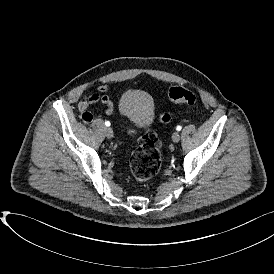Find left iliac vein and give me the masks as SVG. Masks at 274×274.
<instances>
[{"label":"left iliac vein","instance_id":"4c4485c4","mask_svg":"<svg viewBox=\"0 0 274 274\" xmlns=\"http://www.w3.org/2000/svg\"><path fill=\"white\" fill-rule=\"evenodd\" d=\"M172 140H173V142H175V143L179 142V140H180V134H179V132H174V133L172 134Z\"/></svg>","mask_w":274,"mask_h":274}]
</instances>
